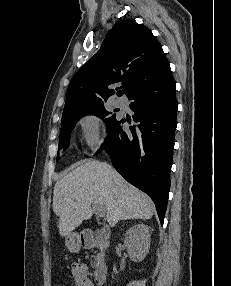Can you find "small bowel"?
<instances>
[{
    "label": "small bowel",
    "instance_id": "obj_1",
    "mask_svg": "<svg viewBox=\"0 0 231 286\" xmlns=\"http://www.w3.org/2000/svg\"><path fill=\"white\" fill-rule=\"evenodd\" d=\"M75 286H95V281L88 272V267L84 263L74 262L71 265Z\"/></svg>",
    "mask_w": 231,
    "mask_h": 286
}]
</instances>
